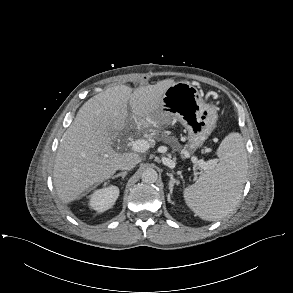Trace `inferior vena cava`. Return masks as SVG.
<instances>
[{
	"label": "inferior vena cava",
	"instance_id": "1",
	"mask_svg": "<svg viewBox=\"0 0 293 293\" xmlns=\"http://www.w3.org/2000/svg\"><path fill=\"white\" fill-rule=\"evenodd\" d=\"M136 164H137V163H136L135 160H133V159L130 158V157H126V158L122 161V163L120 164L119 169H121V170H131V169H133V168L135 167Z\"/></svg>",
	"mask_w": 293,
	"mask_h": 293
}]
</instances>
